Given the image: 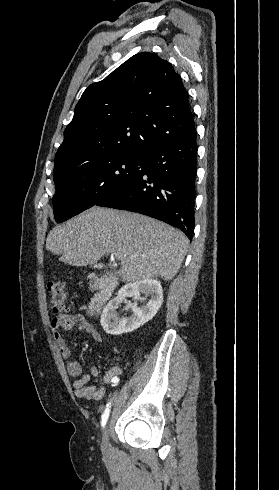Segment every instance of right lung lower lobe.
<instances>
[{"mask_svg":"<svg viewBox=\"0 0 279 490\" xmlns=\"http://www.w3.org/2000/svg\"><path fill=\"white\" fill-rule=\"evenodd\" d=\"M197 132L144 158L142 174L96 205L162 220L192 240L195 226Z\"/></svg>","mask_w":279,"mask_h":490,"instance_id":"obj_1","label":"right lung lower lobe"}]
</instances>
